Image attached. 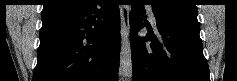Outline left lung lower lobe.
I'll return each instance as SVG.
<instances>
[{
    "label": "left lung lower lobe",
    "mask_w": 237,
    "mask_h": 81,
    "mask_svg": "<svg viewBox=\"0 0 237 81\" xmlns=\"http://www.w3.org/2000/svg\"><path fill=\"white\" fill-rule=\"evenodd\" d=\"M144 5L135 1L129 15L133 81H210L197 17L163 14L151 4L159 37L151 30L143 39L137 32L144 27Z\"/></svg>",
    "instance_id": "1"
}]
</instances>
